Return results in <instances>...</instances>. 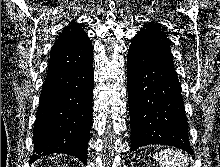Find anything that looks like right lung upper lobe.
Listing matches in <instances>:
<instances>
[{
  "instance_id": "1",
  "label": "right lung upper lobe",
  "mask_w": 220,
  "mask_h": 167,
  "mask_svg": "<svg viewBox=\"0 0 220 167\" xmlns=\"http://www.w3.org/2000/svg\"><path fill=\"white\" fill-rule=\"evenodd\" d=\"M93 61V48L81 25L65 27L52 47L48 75L78 70Z\"/></svg>"
}]
</instances>
